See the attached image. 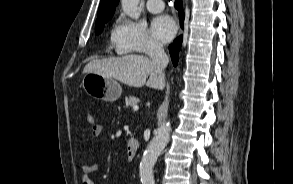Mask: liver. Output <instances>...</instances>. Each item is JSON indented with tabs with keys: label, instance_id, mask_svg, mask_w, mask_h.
<instances>
[{
	"label": "liver",
	"instance_id": "obj_1",
	"mask_svg": "<svg viewBox=\"0 0 293 184\" xmlns=\"http://www.w3.org/2000/svg\"><path fill=\"white\" fill-rule=\"evenodd\" d=\"M83 72L112 77L132 87H142L146 84L150 88L162 90L165 86L164 77L156 72L151 59L142 55L93 59L85 66Z\"/></svg>",
	"mask_w": 293,
	"mask_h": 184
}]
</instances>
